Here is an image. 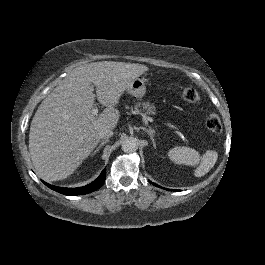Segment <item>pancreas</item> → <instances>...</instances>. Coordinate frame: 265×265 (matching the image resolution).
Wrapping results in <instances>:
<instances>
[{"instance_id":"pancreas-1","label":"pancreas","mask_w":265,"mask_h":265,"mask_svg":"<svg viewBox=\"0 0 265 265\" xmlns=\"http://www.w3.org/2000/svg\"><path fill=\"white\" fill-rule=\"evenodd\" d=\"M143 107V109H146L145 114H155V107L153 106V104L147 100H143L142 102H138L137 104L133 105H128V104H124L125 109L130 110L131 113H143V110H140V107Z\"/></svg>"}]
</instances>
